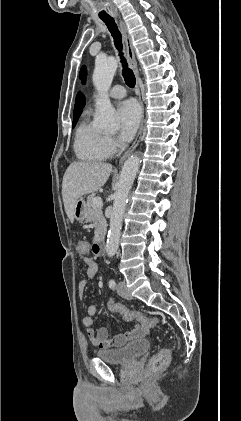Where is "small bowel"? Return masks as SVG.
<instances>
[{
    "label": "small bowel",
    "mask_w": 241,
    "mask_h": 421,
    "mask_svg": "<svg viewBox=\"0 0 241 421\" xmlns=\"http://www.w3.org/2000/svg\"><path fill=\"white\" fill-rule=\"evenodd\" d=\"M83 262L86 265V273L89 278H93L98 271L97 263L86 256H81ZM86 290V281L81 280L78 283L77 292L80 298L83 297ZM96 306L91 304L86 308V314L82 318V324L86 328V334L93 345L101 349H110L121 347L127 342L134 339L144 337L149 330V327L144 324H137L133 329L117 334L111 337L106 327L93 328V316L96 314Z\"/></svg>",
    "instance_id": "c3829d8e"
}]
</instances>
